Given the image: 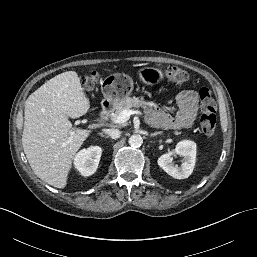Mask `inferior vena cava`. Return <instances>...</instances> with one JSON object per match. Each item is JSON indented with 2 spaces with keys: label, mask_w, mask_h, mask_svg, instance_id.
<instances>
[{
  "label": "inferior vena cava",
  "mask_w": 257,
  "mask_h": 257,
  "mask_svg": "<svg viewBox=\"0 0 257 257\" xmlns=\"http://www.w3.org/2000/svg\"><path fill=\"white\" fill-rule=\"evenodd\" d=\"M103 133L107 134L112 139L120 137V131L118 129H103Z\"/></svg>",
  "instance_id": "obj_1"
}]
</instances>
